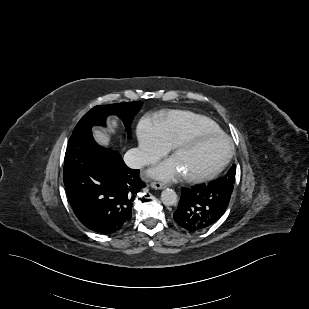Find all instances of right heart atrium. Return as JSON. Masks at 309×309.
Returning a JSON list of instances; mask_svg holds the SVG:
<instances>
[{"label":"right heart atrium","mask_w":309,"mask_h":309,"mask_svg":"<svg viewBox=\"0 0 309 309\" xmlns=\"http://www.w3.org/2000/svg\"><path fill=\"white\" fill-rule=\"evenodd\" d=\"M138 155L142 164H152L165 156L171 149L157 124L148 119L140 121L137 128Z\"/></svg>","instance_id":"1"}]
</instances>
